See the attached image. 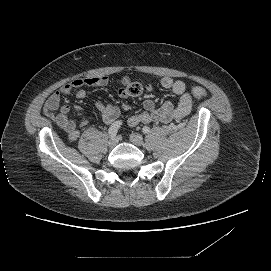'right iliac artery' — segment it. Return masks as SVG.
<instances>
[{"mask_svg": "<svg viewBox=\"0 0 271 271\" xmlns=\"http://www.w3.org/2000/svg\"><path fill=\"white\" fill-rule=\"evenodd\" d=\"M121 125H122V121L120 120V121L114 122V123L110 126V128H109V130H108V134H109V136H110L111 138L116 137L117 132H118V129L120 128Z\"/></svg>", "mask_w": 271, "mask_h": 271, "instance_id": "obj_1", "label": "right iliac artery"}]
</instances>
